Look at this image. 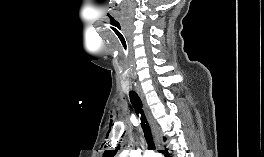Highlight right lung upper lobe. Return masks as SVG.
Here are the masks:
<instances>
[{
	"mask_svg": "<svg viewBox=\"0 0 264 157\" xmlns=\"http://www.w3.org/2000/svg\"><path fill=\"white\" fill-rule=\"evenodd\" d=\"M120 145L116 148V150H106L103 157H114L116 154L117 150H119Z\"/></svg>",
	"mask_w": 264,
	"mask_h": 157,
	"instance_id": "obj_1",
	"label": "right lung upper lobe"
}]
</instances>
